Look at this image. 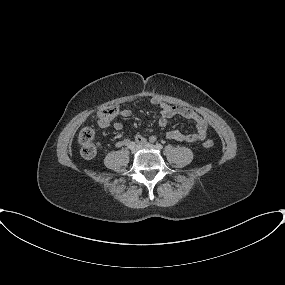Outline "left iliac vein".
I'll list each match as a JSON object with an SVG mask.
<instances>
[{
	"instance_id": "1",
	"label": "left iliac vein",
	"mask_w": 285,
	"mask_h": 285,
	"mask_svg": "<svg viewBox=\"0 0 285 285\" xmlns=\"http://www.w3.org/2000/svg\"><path fill=\"white\" fill-rule=\"evenodd\" d=\"M143 146L146 147V148H149V149H153V150H156V149H157V147H156L155 145L150 144V143H148V142H145V143L143 144Z\"/></svg>"
}]
</instances>
